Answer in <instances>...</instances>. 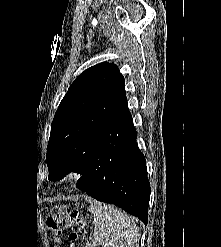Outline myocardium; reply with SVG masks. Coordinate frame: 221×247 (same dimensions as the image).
Listing matches in <instances>:
<instances>
[{
    "label": "myocardium",
    "mask_w": 221,
    "mask_h": 247,
    "mask_svg": "<svg viewBox=\"0 0 221 247\" xmlns=\"http://www.w3.org/2000/svg\"><path fill=\"white\" fill-rule=\"evenodd\" d=\"M80 177H81V170L78 168H72L67 172L65 179L69 183H75L80 179Z\"/></svg>",
    "instance_id": "1"
}]
</instances>
